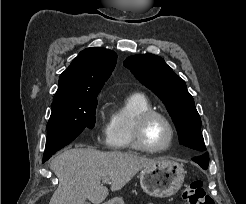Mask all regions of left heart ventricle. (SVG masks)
Instances as JSON below:
<instances>
[{
	"label": "left heart ventricle",
	"instance_id": "obj_1",
	"mask_svg": "<svg viewBox=\"0 0 246 204\" xmlns=\"http://www.w3.org/2000/svg\"><path fill=\"white\" fill-rule=\"evenodd\" d=\"M144 138L148 146L152 148H161L168 143L170 130L162 119L155 117L147 124Z\"/></svg>",
	"mask_w": 246,
	"mask_h": 204
}]
</instances>
